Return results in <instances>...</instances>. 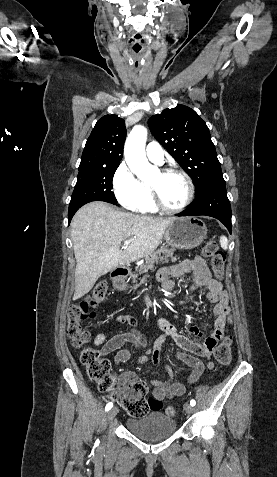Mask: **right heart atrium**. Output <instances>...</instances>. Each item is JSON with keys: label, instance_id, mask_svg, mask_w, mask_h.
<instances>
[{"label": "right heart atrium", "instance_id": "obj_1", "mask_svg": "<svg viewBox=\"0 0 277 477\" xmlns=\"http://www.w3.org/2000/svg\"><path fill=\"white\" fill-rule=\"evenodd\" d=\"M112 185L116 199L127 209L134 210L144 197L142 183L124 162L115 170Z\"/></svg>", "mask_w": 277, "mask_h": 477}]
</instances>
